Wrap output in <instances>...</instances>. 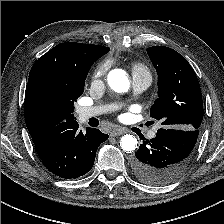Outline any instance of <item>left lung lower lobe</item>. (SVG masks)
<instances>
[{
	"label": "left lung lower lobe",
	"mask_w": 224,
	"mask_h": 224,
	"mask_svg": "<svg viewBox=\"0 0 224 224\" xmlns=\"http://www.w3.org/2000/svg\"><path fill=\"white\" fill-rule=\"evenodd\" d=\"M198 130L162 128L145 140L132 160L136 177L149 185H165L186 169L198 138Z\"/></svg>",
	"instance_id": "obj_1"
}]
</instances>
